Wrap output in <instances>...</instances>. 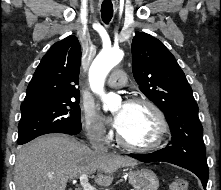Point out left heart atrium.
<instances>
[{"mask_svg":"<svg viewBox=\"0 0 221 190\" xmlns=\"http://www.w3.org/2000/svg\"><path fill=\"white\" fill-rule=\"evenodd\" d=\"M125 121V109L124 107L117 111L111 119V124L118 131L123 126Z\"/></svg>","mask_w":221,"mask_h":190,"instance_id":"39dd6f15","label":"left heart atrium"}]
</instances>
